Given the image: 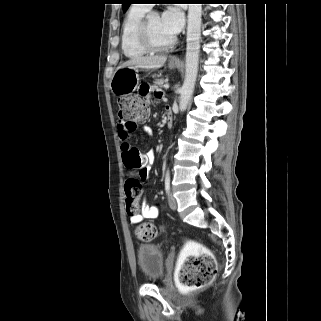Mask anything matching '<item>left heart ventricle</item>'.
I'll list each match as a JSON object with an SVG mask.
<instances>
[{
	"instance_id": "left-heart-ventricle-1",
	"label": "left heart ventricle",
	"mask_w": 321,
	"mask_h": 321,
	"mask_svg": "<svg viewBox=\"0 0 321 321\" xmlns=\"http://www.w3.org/2000/svg\"><path fill=\"white\" fill-rule=\"evenodd\" d=\"M149 31L152 40L156 44H166L173 38V35L162 26L160 16L158 14H153L150 17Z\"/></svg>"
}]
</instances>
